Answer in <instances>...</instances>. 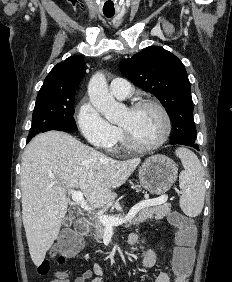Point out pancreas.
I'll return each mask as SVG.
<instances>
[{"instance_id": "pancreas-1", "label": "pancreas", "mask_w": 232, "mask_h": 282, "mask_svg": "<svg viewBox=\"0 0 232 282\" xmlns=\"http://www.w3.org/2000/svg\"><path fill=\"white\" fill-rule=\"evenodd\" d=\"M170 213H171L170 203H164L162 205L147 207L142 209L136 217L129 220L126 224V227H129L130 225H139L140 223H143L144 221L149 219L151 220L153 218H155L156 220H161L167 215H169ZM111 216L125 218V215L120 213L112 214ZM91 225L94 227L95 239L99 242V240L102 239L104 235L106 227L99 220H93Z\"/></svg>"}]
</instances>
